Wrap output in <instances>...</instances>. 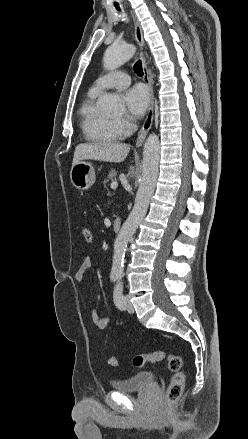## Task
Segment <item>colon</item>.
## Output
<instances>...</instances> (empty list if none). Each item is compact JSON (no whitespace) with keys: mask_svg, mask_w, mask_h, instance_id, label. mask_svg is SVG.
I'll return each mask as SVG.
<instances>
[{"mask_svg":"<svg viewBox=\"0 0 248 439\" xmlns=\"http://www.w3.org/2000/svg\"><path fill=\"white\" fill-rule=\"evenodd\" d=\"M82 235L87 243L93 241V235L90 229L84 228L82 230ZM161 361H165L172 372L170 384L166 392L167 402L172 404L179 400L184 389L185 375L183 372V362L181 357L164 351H156L150 354H139L134 356L133 365L135 367H143L147 364ZM108 364L112 367H116L119 365V361L116 357L112 356L108 358Z\"/></svg>","mask_w":248,"mask_h":439,"instance_id":"1","label":"colon"}]
</instances>
